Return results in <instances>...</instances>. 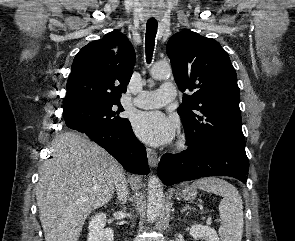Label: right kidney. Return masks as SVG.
Listing matches in <instances>:
<instances>
[{"instance_id": "right-kidney-1", "label": "right kidney", "mask_w": 295, "mask_h": 241, "mask_svg": "<svg viewBox=\"0 0 295 241\" xmlns=\"http://www.w3.org/2000/svg\"><path fill=\"white\" fill-rule=\"evenodd\" d=\"M106 215L96 214L89 222V233L87 241H113L114 232L111 228H105Z\"/></svg>"}]
</instances>
